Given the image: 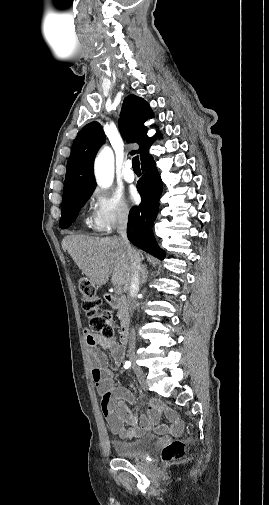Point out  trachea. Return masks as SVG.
Instances as JSON below:
<instances>
[{
    "label": "trachea",
    "instance_id": "1",
    "mask_svg": "<svg viewBox=\"0 0 269 505\" xmlns=\"http://www.w3.org/2000/svg\"><path fill=\"white\" fill-rule=\"evenodd\" d=\"M132 166L134 170H140L139 157L135 156L132 160Z\"/></svg>",
    "mask_w": 269,
    "mask_h": 505
}]
</instances>
